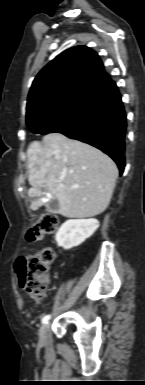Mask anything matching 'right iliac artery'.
I'll list each match as a JSON object with an SVG mask.
<instances>
[{"label":"right iliac artery","mask_w":145,"mask_h":385,"mask_svg":"<svg viewBox=\"0 0 145 385\" xmlns=\"http://www.w3.org/2000/svg\"><path fill=\"white\" fill-rule=\"evenodd\" d=\"M50 318H51L50 315L44 316L43 319H42V323H43V324L47 323V322L49 321Z\"/></svg>","instance_id":"right-iliac-artery-1"}]
</instances>
